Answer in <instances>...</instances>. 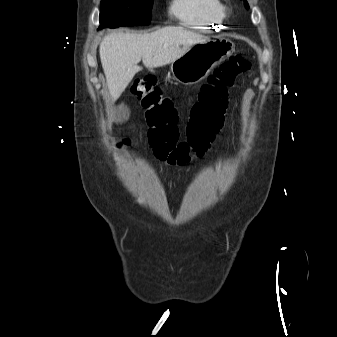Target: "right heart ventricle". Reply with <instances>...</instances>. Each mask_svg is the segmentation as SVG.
Instances as JSON below:
<instances>
[{
    "label": "right heart ventricle",
    "instance_id": "1",
    "mask_svg": "<svg viewBox=\"0 0 337 337\" xmlns=\"http://www.w3.org/2000/svg\"><path fill=\"white\" fill-rule=\"evenodd\" d=\"M169 10L183 25L200 31L220 29L227 19L222 0H172Z\"/></svg>",
    "mask_w": 337,
    "mask_h": 337
}]
</instances>
